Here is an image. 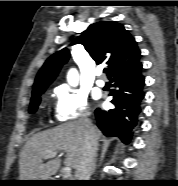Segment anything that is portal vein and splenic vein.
Masks as SVG:
<instances>
[{"instance_id":"obj_1","label":"portal vein and splenic vein","mask_w":178,"mask_h":186,"mask_svg":"<svg viewBox=\"0 0 178 186\" xmlns=\"http://www.w3.org/2000/svg\"><path fill=\"white\" fill-rule=\"evenodd\" d=\"M57 155V152H48L45 155V159L55 157ZM71 176V168L69 166H65L63 169V178L68 179Z\"/></svg>"}]
</instances>
